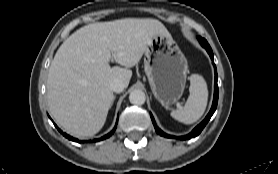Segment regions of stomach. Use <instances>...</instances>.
<instances>
[{"mask_svg": "<svg viewBox=\"0 0 278 174\" xmlns=\"http://www.w3.org/2000/svg\"><path fill=\"white\" fill-rule=\"evenodd\" d=\"M144 70L154 97L162 105H172L181 98L188 63L171 35L152 37L144 52Z\"/></svg>", "mask_w": 278, "mask_h": 174, "instance_id": "0dacf381", "label": "stomach"}]
</instances>
